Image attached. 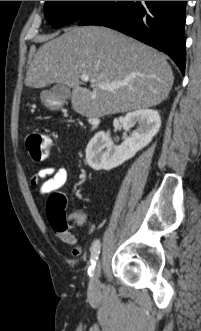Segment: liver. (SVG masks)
I'll use <instances>...</instances> for the list:
<instances>
[{
	"label": "liver",
	"mask_w": 201,
	"mask_h": 331,
	"mask_svg": "<svg viewBox=\"0 0 201 331\" xmlns=\"http://www.w3.org/2000/svg\"><path fill=\"white\" fill-rule=\"evenodd\" d=\"M82 74L97 83L128 84L113 90L92 85L90 90L80 86ZM173 81L162 53L115 30L84 26L44 43L29 65L25 85L69 86L73 110L92 118L157 106L168 97Z\"/></svg>",
	"instance_id": "liver-1"
}]
</instances>
